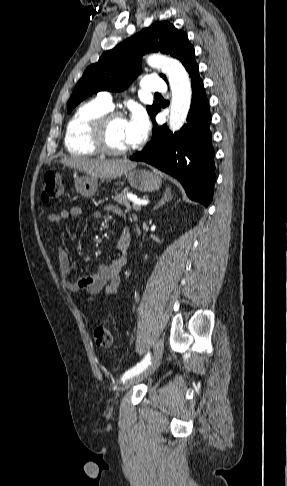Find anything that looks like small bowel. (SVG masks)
<instances>
[{
	"label": "small bowel",
	"instance_id": "c3829d8e",
	"mask_svg": "<svg viewBox=\"0 0 287 486\" xmlns=\"http://www.w3.org/2000/svg\"><path fill=\"white\" fill-rule=\"evenodd\" d=\"M107 210L119 217H124L121 209L116 206H108ZM82 214V209L74 206L59 213H50L46 219L49 223L59 224L71 218L80 217ZM90 217L99 219L101 212L93 211ZM130 239L129 230L124 229L116 243L118 256L109 264L99 265L95 272L77 279H74L72 276L67 250L62 245H58L56 253L64 289L72 294H79L81 291L86 290L88 301H95L98 297H108L115 294L121 282L122 270L127 263Z\"/></svg>",
	"mask_w": 287,
	"mask_h": 486
}]
</instances>
